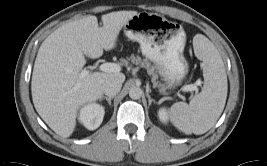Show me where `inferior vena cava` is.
I'll return each mask as SVG.
<instances>
[{
    "label": "inferior vena cava",
    "mask_w": 267,
    "mask_h": 166,
    "mask_svg": "<svg viewBox=\"0 0 267 166\" xmlns=\"http://www.w3.org/2000/svg\"><path fill=\"white\" fill-rule=\"evenodd\" d=\"M122 87V82L118 79H109L106 80L103 84V93L107 96H115L119 93Z\"/></svg>",
    "instance_id": "inferior-vena-cava-1"
}]
</instances>
